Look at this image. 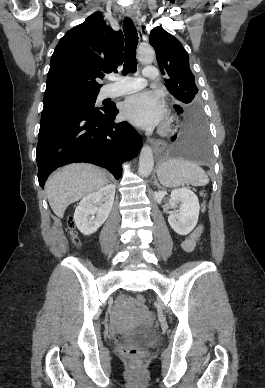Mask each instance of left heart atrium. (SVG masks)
<instances>
[{
	"instance_id": "39dd6f15",
	"label": "left heart atrium",
	"mask_w": 265,
	"mask_h": 388,
	"mask_svg": "<svg viewBox=\"0 0 265 388\" xmlns=\"http://www.w3.org/2000/svg\"><path fill=\"white\" fill-rule=\"evenodd\" d=\"M122 112L128 120L144 126L156 125L167 115L160 98L146 91L129 96L123 103Z\"/></svg>"
}]
</instances>
